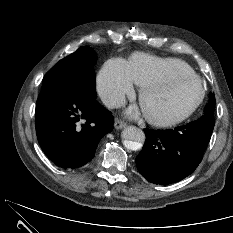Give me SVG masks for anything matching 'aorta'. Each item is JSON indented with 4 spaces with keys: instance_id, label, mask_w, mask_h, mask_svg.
Returning <instances> with one entry per match:
<instances>
[{
    "instance_id": "aorta-1",
    "label": "aorta",
    "mask_w": 233,
    "mask_h": 233,
    "mask_svg": "<svg viewBox=\"0 0 233 233\" xmlns=\"http://www.w3.org/2000/svg\"><path fill=\"white\" fill-rule=\"evenodd\" d=\"M122 138L126 148L136 151L142 147V143L145 141V134L135 126H128L122 131Z\"/></svg>"
}]
</instances>
